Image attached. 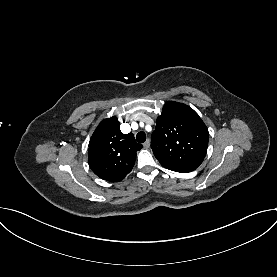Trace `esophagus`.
I'll return each mask as SVG.
<instances>
[{"label": "esophagus", "instance_id": "esophagus-1", "mask_svg": "<svg viewBox=\"0 0 277 277\" xmlns=\"http://www.w3.org/2000/svg\"><path fill=\"white\" fill-rule=\"evenodd\" d=\"M143 146L144 148H149L150 147V140H146L144 143H143Z\"/></svg>", "mask_w": 277, "mask_h": 277}]
</instances>
